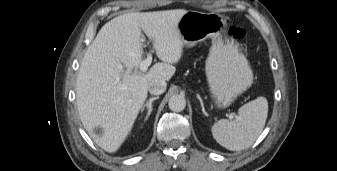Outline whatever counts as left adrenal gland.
<instances>
[{
    "label": "left adrenal gland",
    "mask_w": 337,
    "mask_h": 171,
    "mask_svg": "<svg viewBox=\"0 0 337 171\" xmlns=\"http://www.w3.org/2000/svg\"><path fill=\"white\" fill-rule=\"evenodd\" d=\"M198 99L200 100L203 114H204L205 116H208V114H207L206 111H205V108H204V105H203V102H202V99L200 98V96H198Z\"/></svg>",
    "instance_id": "a2214340"
}]
</instances>
